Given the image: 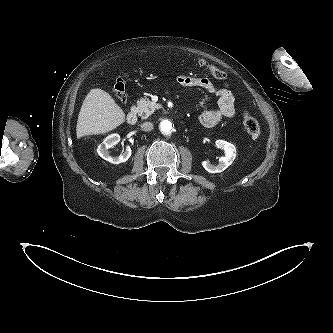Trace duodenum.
<instances>
[{"mask_svg":"<svg viewBox=\"0 0 333 333\" xmlns=\"http://www.w3.org/2000/svg\"><path fill=\"white\" fill-rule=\"evenodd\" d=\"M137 111L135 108H131L129 113L127 114V122L130 125H134L137 122Z\"/></svg>","mask_w":333,"mask_h":333,"instance_id":"410a0bca","label":"duodenum"}]
</instances>
